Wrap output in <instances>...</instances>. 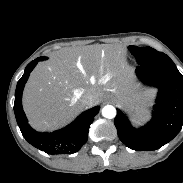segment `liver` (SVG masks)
<instances>
[{
  "label": "liver",
  "instance_id": "obj_1",
  "mask_svg": "<svg viewBox=\"0 0 183 183\" xmlns=\"http://www.w3.org/2000/svg\"><path fill=\"white\" fill-rule=\"evenodd\" d=\"M105 90L123 102L139 97L123 50L100 45L69 48L34 69L24 89L23 106L34 128L53 130L84 109L83 92L94 93L93 104H97Z\"/></svg>",
  "mask_w": 183,
  "mask_h": 183
}]
</instances>
